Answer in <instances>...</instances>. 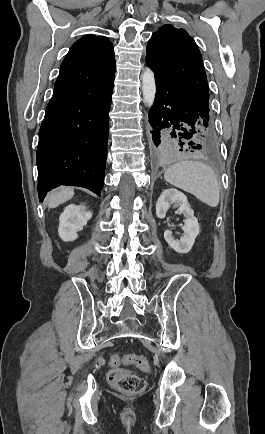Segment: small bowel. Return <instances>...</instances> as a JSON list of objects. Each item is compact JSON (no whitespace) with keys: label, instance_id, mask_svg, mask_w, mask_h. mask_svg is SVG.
I'll return each instance as SVG.
<instances>
[{"label":"small bowel","instance_id":"c3829d8e","mask_svg":"<svg viewBox=\"0 0 265 434\" xmlns=\"http://www.w3.org/2000/svg\"><path fill=\"white\" fill-rule=\"evenodd\" d=\"M109 366L112 368V367H114V366H118L119 364H121V363H115V362H113L111 359L109 360Z\"/></svg>","mask_w":265,"mask_h":434}]
</instances>
